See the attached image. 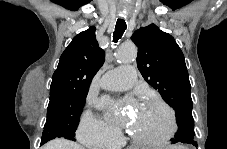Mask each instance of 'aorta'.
Wrapping results in <instances>:
<instances>
[{
	"label": "aorta",
	"instance_id": "1",
	"mask_svg": "<svg viewBox=\"0 0 227 149\" xmlns=\"http://www.w3.org/2000/svg\"><path fill=\"white\" fill-rule=\"evenodd\" d=\"M137 50L134 46H123L117 52V59L123 63H129L136 59Z\"/></svg>",
	"mask_w": 227,
	"mask_h": 149
}]
</instances>
